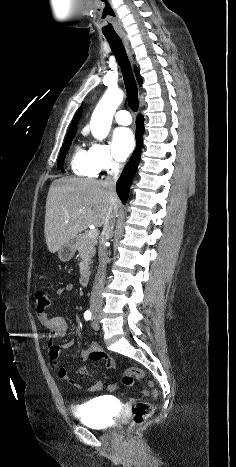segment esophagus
I'll return each mask as SVG.
<instances>
[{
	"instance_id": "34e87169",
	"label": "esophagus",
	"mask_w": 236,
	"mask_h": 467,
	"mask_svg": "<svg viewBox=\"0 0 236 467\" xmlns=\"http://www.w3.org/2000/svg\"><path fill=\"white\" fill-rule=\"evenodd\" d=\"M122 41H123V44L125 46V49L131 59V61L133 62V52H132V49L130 47V44H129V40L127 37H122Z\"/></svg>"
}]
</instances>
